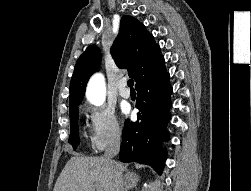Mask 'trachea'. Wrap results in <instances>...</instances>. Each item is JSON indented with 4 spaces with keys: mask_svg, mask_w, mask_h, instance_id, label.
<instances>
[{
    "mask_svg": "<svg viewBox=\"0 0 251 191\" xmlns=\"http://www.w3.org/2000/svg\"><path fill=\"white\" fill-rule=\"evenodd\" d=\"M128 86L130 89H133V86H134V80H132V78L130 80H128L127 82Z\"/></svg>",
    "mask_w": 251,
    "mask_h": 191,
    "instance_id": "3493384b",
    "label": "trachea"
}]
</instances>
